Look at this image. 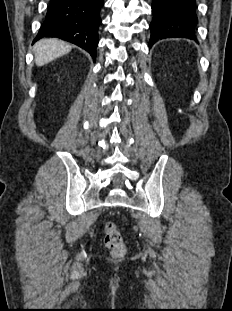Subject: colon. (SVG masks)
<instances>
[{
	"label": "colon",
	"instance_id": "obj_1",
	"mask_svg": "<svg viewBox=\"0 0 232 311\" xmlns=\"http://www.w3.org/2000/svg\"><path fill=\"white\" fill-rule=\"evenodd\" d=\"M104 244L113 257H121L126 252L121 233L114 222H107L104 225Z\"/></svg>",
	"mask_w": 232,
	"mask_h": 311
}]
</instances>
